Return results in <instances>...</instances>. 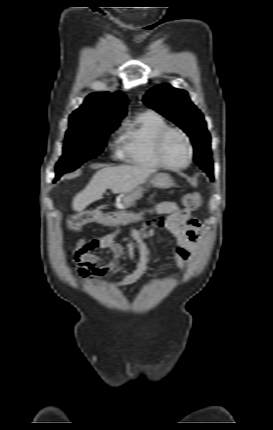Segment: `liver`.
I'll return each instance as SVG.
<instances>
[{
    "label": "liver",
    "instance_id": "6515ba94",
    "mask_svg": "<svg viewBox=\"0 0 273 430\" xmlns=\"http://www.w3.org/2000/svg\"><path fill=\"white\" fill-rule=\"evenodd\" d=\"M154 172L155 169L145 166L105 167L96 172L89 184L73 198V210L77 212L84 210L91 203L101 199L107 189H111L114 194L129 192Z\"/></svg>",
    "mask_w": 273,
    "mask_h": 430
}]
</instances>
